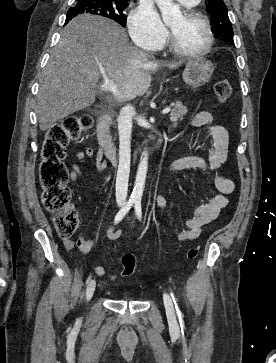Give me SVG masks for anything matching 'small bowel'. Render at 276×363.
Here are the masks:
<instances>
[{
	"mask_svg": "<svg viewBox=\"0 0 276 363\" xmlns=\"http://www.w3.org/2000/svg\"><path fill=\"white\" fill-rule=\"evenodd\" d=\"M190 124L197 127L205 126L209 131L210 148L208 161L200 157H187L173 163L169 171L197 169L205 173L214 172L213 180L218 193L213 194L206 203L196 207L192 216L184 222L182 229L174 230V239L177 242H189L197 239L203 232L204 227L216 220L220 211L229 204L228 195L235 190L234 181L218 173L227 161L229 146L227 130L222 125L214 123L213 115L208 111L196 113L191 119ZM74 158L79 163L84 162L86 159H94L98 170H102L105 167L102 154L100 152L96 153L91 147L76 152ZM70 168V178L77 180L81 175V167L78 164H72ZM154 201L172 219L167 198L163 195H156ZM120 235L121 233L115 227H111L108 230L110 239H117ZM64 244L68 250L74 247V244L68 240H65ZM76 245L81 252L88 253L92 249L94 242L91 239H86L84 234H81L77 238ZM94 273L97 276L106 277L112 282L119 279L117 273L107 272L102 266H95Z\"/></svg>",
	"mask_w": 276,
	"mask_h": 363,
	"instance_id": "1",
	"label": "small bowel"
}]
</instances>
